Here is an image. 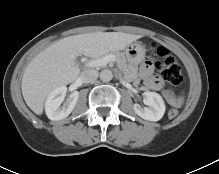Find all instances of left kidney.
<instances>
[{
	"label": "left kidney",
	"instance_id": "5707ae66",
	"mask_svg": "<svg viewBox=\"0 0 219 174\" xmlns=\"http://www.w3.org/2000/svg\"><path fill=\"white\" fill-rule=\"evenodd\" d=\"M143 102L148 107H141L134 104L135 113L141 118L148 121H159L165 113V103L162 97L156 92L146 91L143 93Z\"/></svg>",
	"mask_w": 219,
	"mask_h": 174
}]
</instances>
